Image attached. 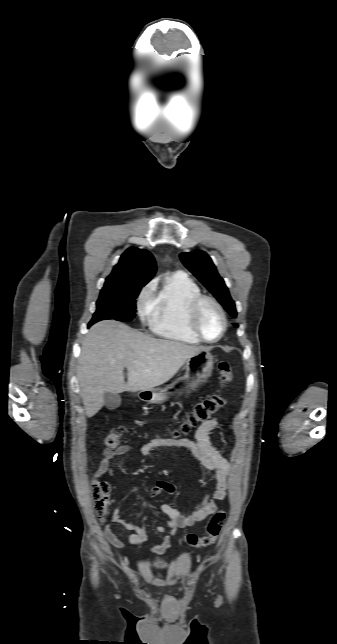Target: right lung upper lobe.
<instances>
[{"instance_id":"right-lung-upper-lobe-1","label":"right lung upper lobe","mask_w":337,"mask_h":644,"mask_svg":"<svg viewBox=\"0 0 337 644\" xmlns=\"http://www.w3.org/2000/svg\"><path fill=\"white\" fill-rule=\"evenodd\" d=\"M156 272V263L145 249L131 247L121 256L104 287L134 286L148 283Z\"/></svg>"}]
</instances>
